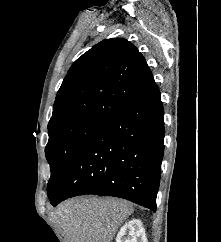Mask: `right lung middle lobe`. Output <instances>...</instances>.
<instances>
[{"instance_id": "right-lung-middle-lobe-1", "label": "right lung middle lobe", "mask_w": 221, "mask_h": 242, "mask_svg": "<svg viewBox=\"0 0 221 242\" xmlns=\"http://www.w3.org/2000/svg\"><path fill=\"white\" fill-rule=\"evenodd\" d=\"M103 120L83 119L70 122L48 131L49 141L45 148L46 158L51 168L47 191L62 175L67 163L87 137L101 125Z\"/></svg>"}]
</instances>
